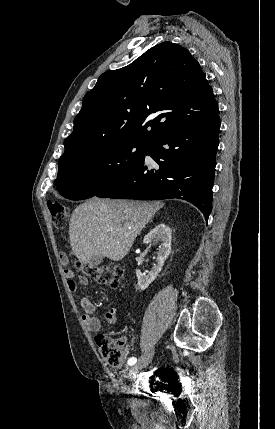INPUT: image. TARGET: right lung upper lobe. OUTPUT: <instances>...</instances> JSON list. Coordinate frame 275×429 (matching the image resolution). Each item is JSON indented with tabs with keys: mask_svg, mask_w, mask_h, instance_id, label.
I'll use <instances>...</instances> for the list:
<instances>
[{
	"mask_svg": "<svg viewBox=\"0 0 275 429\" xmlns=\"http://www.w3.org/2000/svg\"><path fill=\"white\" fill-rule=\"evenodd\" d=\"M218 112L199 63L182 46L163 42L98 78L83 98L58 164L114 144L149 143Z\"/></svg>",
	"mask_w": 275,
	"mask_h": 429,
	"instance_id": "right-lung-upper-lobe-1",
	"label": "right lung upper lobe"
}]
</instances>
